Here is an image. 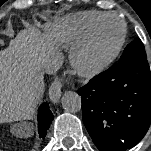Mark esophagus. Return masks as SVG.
<instances>
[{"instance_id":"34e87169","label":"esophagus","mask_w":151,"mask_h":151,"mask_svg":"<svg viewBox=\"0 0 151 151\" xmlns=\"http://www.w3.org/2000/svg\"><path fill=\"white\" fill-rule=\"evenodd\" d=\"M62 81L55 80L49 87V97L53 103H57L61 96Z\"/></svg>"}]
</instances>
